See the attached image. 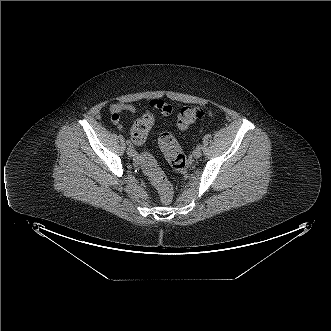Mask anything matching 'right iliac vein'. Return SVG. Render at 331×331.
Returning <instances> with one entry per match:
<instances>
[{"label":"right iliac vein","mask_w":331,"mask_h":331,"mask_svg":"<svg viewBox=\"0 0 331 331\" xmlns=\"http://www.w3.org/2000/svg\"><path fill=\"white\" fill-rule=\"evenodd\" d=\"M127 154H128L130 157H133V156L136 155V151H135V149H134L132 146H129V147L127 148Z\"/></svg>","instance_id":"63e3f726"}]
</instances>
